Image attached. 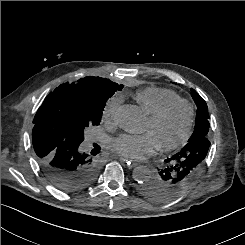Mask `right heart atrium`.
<instances>
[{"mask_svg": "<svg viewBox=\"0 0 245 245\" xmlns=\"http://www.w3.org/2000/svg\"><path fill=\"white\" fill-rule=\"evenodd\" d=\"M121 103V98L120 97H111L105 107H104V111H103V115L106 119L108 120H113L115 117V114L119 108V105Z\"/></svg>", "mask_w": 245, "mask_h": 245, "instance_id": "1", "label": "right heart atrium"}]
</instances>
